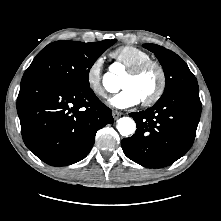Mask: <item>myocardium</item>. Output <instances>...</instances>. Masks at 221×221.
<instances>
[{"mask_svg":"<svg viewBox=\"0 0 221 221\" xmlns=\"http://www.w3.org/2000/svg\"><path fill=\"white\" fill-rule=\"evenodd\" d=\"M150 67H154L157 69L158 74H159V82H158L157 88L152 93V95L149 96L148 98L141 100V103L143 106H151L157 103L163 96L166 90V85H167V76H166L165 68L160 62L153 60V59H148V60L142 61L140 63H137L129 67L126 71L128 75L136 76L144 72Z\"/></svg>","mask_w":221,"mask_h":221,"instance_id":"myocardium-1","label":"myocardium"}]
</instances>
